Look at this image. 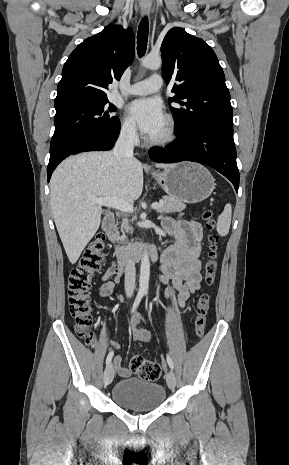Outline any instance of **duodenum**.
Masks as SVG:
<instances>
[{
	"label": "duodenum",
	"instance_id": "obj_1",
	"mask_svg": "<svg viewBox=\"0 0 289 465\" xmlns=\"http://www.w3.org/2000/svg\"><path fill=\"white\" fill-rule=\"evenodd\" d=\"M103 228L108 240L113 244L114 256L120 266H127L134 261L140 260L144 255L150 256L153 260H158V252L153 246H136L128 248L116 244L117 230L113 214L110 213L105 216Z\"/></svg>",
	"mask_w": 289,
	"mask_h": 465
}]
</instances>
